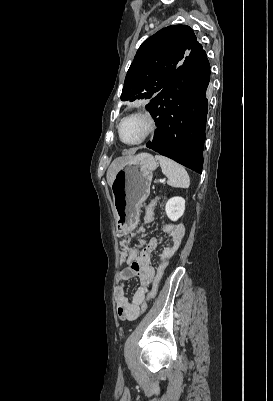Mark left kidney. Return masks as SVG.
I'll return each instance as SVG.
<instances>
[{
    "mask_svg": "<svg viewBox=\"0 0 273 401\" xmlns=\"http://www.w3.org/2000/svg\"><path fill=\"white\" fill-rule=\"evenodd\" d=\"M166 215L171 221H178L185 211V198L182 196H172L166 203Z\"/></svg>",
    "mask_w": 273,
    "mask_h": 401,
    "instance_id": "1",
    "label": "left kidney"
}]
</instances>
